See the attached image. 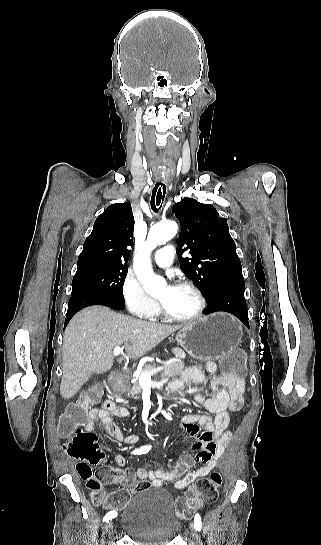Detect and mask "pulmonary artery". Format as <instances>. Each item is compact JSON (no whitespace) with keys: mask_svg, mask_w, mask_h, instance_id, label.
Instances as JSON below:
<instances>
[{"mask_svg":"<svg viewBox=\"0 0 321 545\" xmlns=\"http://www.w3.org/2000/svg\"><path fill=\"white\" fill-rule=\"evenodd\" d=\"M174 257H175V254L173 250H165V248L157 249L154 252V256H153L154 261L161 267L170 266L173 263Z\"/></svg>","mask_w":321,"mask_h":545,"instance_id":"pulmonary-artery-1","label":"pulmonary artery"}]
</instances>
